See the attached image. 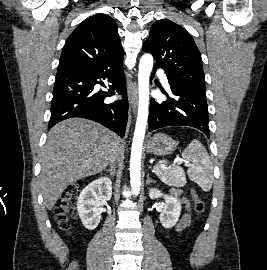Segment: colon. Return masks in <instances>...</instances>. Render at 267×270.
I'll return each mask as SVG.
<instances>
[{"mask_svg": "<svg viewBox=\"0 0 267 270\" xmlns=\"http://www.w3.org/2000/svg\"><path fill=\"white\" fill-rule=\"evenodd\" d=\"M82 181L76 182L67 187L59 197L55 205V220L59 228L63 231H69L71 228V220L74 217V204L76 202L79 191L83 188ZM191 197L194 204V209L197 214L204 211V202L198 195L196 190L191 191Z\"/></svg>", "mask_w": 267, "mask_h": 270, "instance_id": "1", "label": "colon"}]
</instances>
